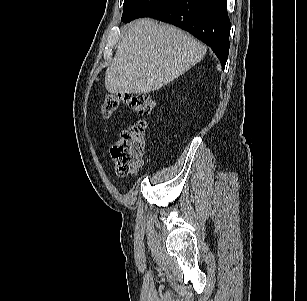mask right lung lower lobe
I'll return each mask as SVG.
<instances>
[{
  "mask_svg": "<svg viewBox=\"0 0 307 301\" xmlns=\"http://www.w3.org/2000/svg\"><path fill=\"white\" fill-rule=\"evenodd\" d=\"M140 17H152L188 31L210 46L225 68L231 27L227 0H162Z\"/></svg>",
  "mask_w": 307,
  "mask_h": 301,
  "instance_id": "right-lung-lower-lobe-1",
  "label": "right lung lower lobe"
}]
</instances>
